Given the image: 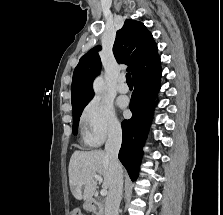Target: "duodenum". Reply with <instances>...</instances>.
Returning a JSON list of instances; mask_svg holds the SVG:
<instances>
[{
  "label": "duodenum",
  "mask_w": 223,
  "mask_h": 215,
  "mask_svg": "<svg viewBox=\"0 0 223 215\" xmlns=\"http://www.w3.org/2000/svg\"><path fill=\"white\" fill-rule=\"evenodd\" d=\"M85 210L90 212L92 215H104L103 208L99 201L93 198H87L84 205Z\"/></svg>",
  "instance_id": "410a0bca"
}]
</instances>
